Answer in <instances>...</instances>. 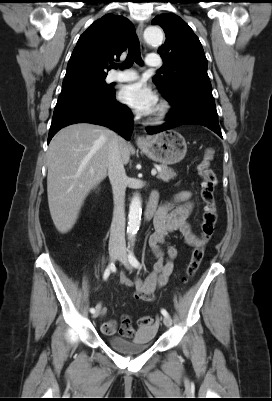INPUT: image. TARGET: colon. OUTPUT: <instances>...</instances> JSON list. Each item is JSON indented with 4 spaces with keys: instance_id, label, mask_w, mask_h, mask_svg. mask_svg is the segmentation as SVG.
I'll return each instance as SVG.
<instances>
[{
    "instance_id": "colon-1",
    "label": "colon",
    "mask_w": 272,
    "mask_h": 401,
    "mask_svg": "<svg viewBox=\"0 0 272 401\" xmlns=\"http://www.w3.org/2000/svg\"><path fill=\"white\" fill-rule=\"evenodd\" d=\"M213 150L206 148L205 153L197 166V171L201 177V199L203 202V214L201 222L200 240L196 244L190 262L186 269V274L183 279L188 283L197 272L200 263L204 257L205 245L212 237L215 225L217 223V206L215 200V189L218 184V179L215 172L211 168L213 159ZM153 323L152 317H141L139 324L150 325Z\"/></svg>"
}]
</instances>
